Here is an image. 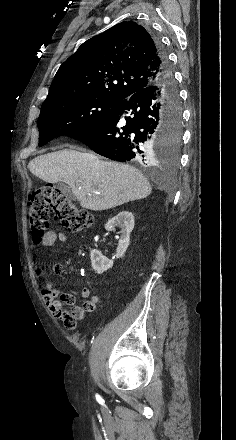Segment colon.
Segmentation results:
<instances>
[{
	"mask_svg": "<svg viewBox=\"0 0 236 440\" xmlns=\"http://www.w3.org/2000/svg\"><path fill=\"white\" fill-rule=\"evenodd\" d=\"M29 219L32 230L33 242L38 244L47 232L49 226V212L52 210L62 224L71 232L80 233L93 223V215L90 211L78 206L68 197L64 196L57 188L44 185L35 188L29 196ZM54 271L62 272L61 265H55ZM46 289L57 301L63 302L53 289L51 283ZM64 321H75L66 314Z\"/></svg>",
	"mask_w": 236,
	"mask_h": 440,
	"instance_id": "colon-1",
	"label": "colon"
}]
</instances>
